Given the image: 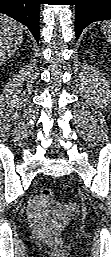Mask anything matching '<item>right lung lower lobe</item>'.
I'll return each mask as SVG.
<instances>
[{
    "mask_svg": "<svg viewBox=\"0 0 111 257\" xmlns=\"http://www.w3.org/2000/svg\"><path fill=\"white\" fill-rule=\"evenodd\" d=\"M39 5L40 0H0V13L27 26L38 42Z\"/></svg>",
    "mask_w": 111,
    "mask_h": 257,
    "instance_id": "1",
    "label": "right lung lower lobe"
}]
</instances>
